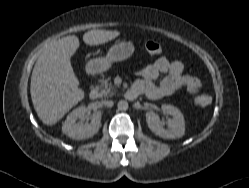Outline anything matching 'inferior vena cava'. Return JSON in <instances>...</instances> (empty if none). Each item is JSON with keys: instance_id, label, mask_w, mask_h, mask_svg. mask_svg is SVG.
I'll list each match as a JSON object with an SVG mask.
<instances>
[{"instance_id": "obj_1", "label": "inferior vena cava", "mask_w": 249, "mask_h": 188, "mask_svg": "<svg viewBox=\"0 0 249 188\" xmlns=\"http://www.w3.org/2000/svg\"><path fill=\"white\" fill-rule=\"evenodd\" d=\"M114 102L112 100H105L103 101V105L106 107H112Z\"/></svg>"}]
</instances>
